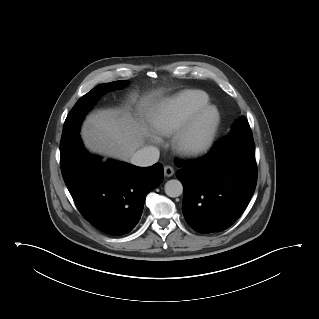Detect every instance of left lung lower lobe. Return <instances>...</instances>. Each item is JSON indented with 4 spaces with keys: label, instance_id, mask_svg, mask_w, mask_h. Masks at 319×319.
Masks as SVG:
<instances>
[{
    "label": "left lung lower lobe",
    "instance_id": "obj_1",
    "mask_svg": "<svg viewBox=\"0 0 319 319\" xmlns=\"http://www.w3.org/2000/svg\"><path fill=\"white\" fill-rule=\"evenodd\" d=\"M182 167L176 176L184 187L182 211L199 233L221 232L243 213L257 181L253 140L226 137L204 158Z\"/></svg>",
    "mask_w": 319,
    "mask_h": 319
}]
</instances>
